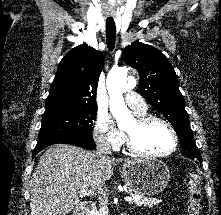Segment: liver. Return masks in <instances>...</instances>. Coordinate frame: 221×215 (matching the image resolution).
Masks as SVG:
<instances>
[{"label":"liver","instance_id":"obj_1","mask_svg":"<svg viewBox=\"0 0 221 215\" xmlns=\"http://www.w3.org/2000/svg\"><path fill=\"white\" fill-rule=\"evenodd\" d=\"M122 161L109 156L101 158L95 151L73 145L49 147L30 180V215L68 214L81 204L77 195L80 189L96 192Z\"/></svg>","mask_w":221,"mask_h":215}]
</instances>
